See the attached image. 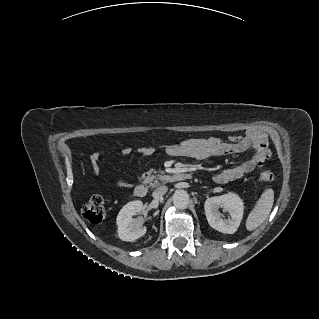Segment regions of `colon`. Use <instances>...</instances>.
Here are the masks:
<instances>
[{"mask_svg":"<svg viewBox=\"0 0 319 319\" xmlns=\"http://www.w3.org/2000/svg\"><path fill=\"white\" fill-rule=\"evenodd\" d=\"M264 155L269 157L270 151L266 147ZM260 178L263 181H272L274 175L272 172L266 170L261 172ZM83 216L91 223H100L105 215V203L104 199L100 195H93L82 207Z\"/></svg>","mask_w":319,"mask_h":319,"instance_id":"1","label":"colon"}]
</instances>
